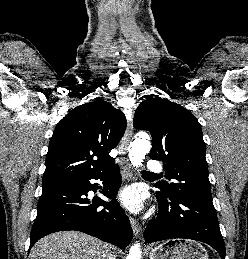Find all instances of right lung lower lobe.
Masks as SVG:
<instances>
[{
    "label": "right lung lower lobe",
    "mask_w": 248,
    "mask_h": 259,
    "mask_svg": "<svg viewBox=\"0 0 248 259\" xmlns=\"http://www.w3.org/2000/svg\"><path fill=\"white\" fill-rule=\"evenodd\" d=\"M100 179L105 185L103 195L113 198L121 184L116 165L106 171L72 180L43 185L37 217L31 231L30 248L42 237L65 230H76L97 237L124 249L132 240V229L125 212L116 200L99 199L91 204L87 198ZM110 180V181H109Z\"/></svg>",
    "instance_id": "1"
}]
</instances>
